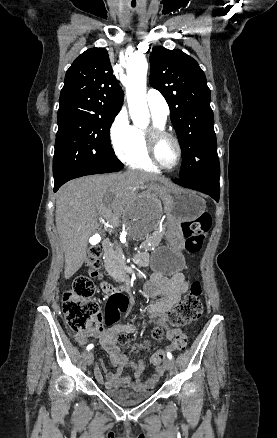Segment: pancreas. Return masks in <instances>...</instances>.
<instances>
[{
	"label": "pancreas",
	"instance_id": "1",
	"mask_svg": "<svg viewBox=\"0 0 277 438\" xmlns=\"http://www.w3.org/2000/svg\"><path fill=\"white\" fill-rule=\"evenodd\" d=\"M165 230L152 231L148 238L145 240L144 244H140L138 250L140 253H147L149 248H158L161 235H165ZM110 238H115V233H110ZM109 251H105L104 265L107 270H120L121 266L125 267L128 264L126 258L128 254L125 251H119L117 244H110L108 247Z\"/></svg>",
	"mask_w": 277,
	"mask_h": 438
}]
</instances>
